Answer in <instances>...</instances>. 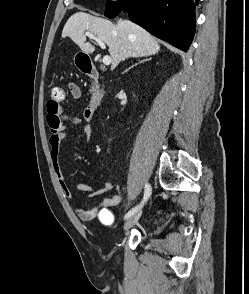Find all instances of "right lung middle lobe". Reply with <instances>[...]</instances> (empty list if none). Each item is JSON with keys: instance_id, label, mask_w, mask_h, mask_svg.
Segmentation results:
<instances>
[{"instance_id": "obj_1", "label": "right lung middle lobe", "mask_w": 249, "mask_h": 294, "mask_svg": "<svg viewBox=\"0 0 249 294\" xmlns=\"http://www.w3.org/2000/svg\"><path fill=\"white\" fill-rule=\"evenodd\" d=\"M128 1L129 0H120L113 2L107 0L105 15L109 18L115 17L120 13V11L123 9Z\"/></svg>"}]
</instances>
